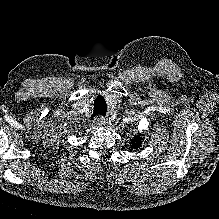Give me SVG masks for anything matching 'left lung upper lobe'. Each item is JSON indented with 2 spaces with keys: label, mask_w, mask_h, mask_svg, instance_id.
Here are the masks:
<instances>
[{
  "label": "left lung upper lobe",
  "mask_w": 219,
  "mask_h": 219,
  "mask_svg": "<svg viewBox=\"0 0 219 219\" xmlns=\"http://www.w3.org/2000/svg\"><path fill=\"white\" fill-rule=\"evenodd\" d=\"M142 138H140L139 136H137L136 138L133 139L132 144L134 148H138L139 146H141L142 143Z\"/></svg>",
  "instance_id": "1"
}]
</instances>
